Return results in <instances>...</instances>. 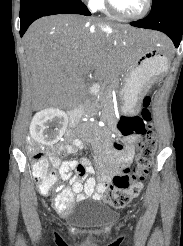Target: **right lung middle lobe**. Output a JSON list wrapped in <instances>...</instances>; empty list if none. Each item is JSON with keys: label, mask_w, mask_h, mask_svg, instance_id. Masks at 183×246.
<instances>
[{"label": "right lung middle lobe", "mask_w": 183, "mask_h": 246, "mask_svg": "<svg viewBox=\"0 0 183 246\" xmlns=\"http://www.w3.org/2000/svg\"><path fill=\"white\" fill-rule=\"evenodd\" d=\"M40 1H53V0H21L20 4H28L33 2H40Z\"/></svg>", "instance_id": "dd1d6c3e"}]
</instances>
